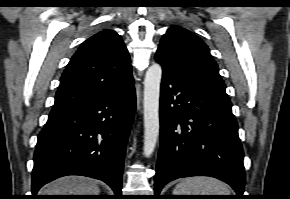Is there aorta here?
<instances>
[{
	"instance_id": "aorta-1",
	"label": "aorta",
	"mask_w": 290,
	"mask_h": 199,
	"mask_svg": "<svg viewBox=\"0 0 290 199\" xmlns=\"http://www.w3.org/2000/svg\"><path fill=\"white\" fill-rule=\"evenodd\" d=\"M162 68L153 63L146 71L144 80V146L146 157L154 152L159 137V98Z\"/></svg>"
}]
</instances>
